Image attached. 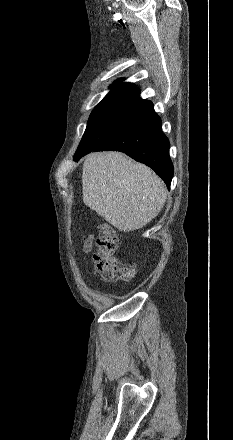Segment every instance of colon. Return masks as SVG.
Wrapping results in <instances>:
<instances>
[{
  "label": "colon",
  "mask_w": 233,
  "mask_h": 440,
  "mask_svg": "<svg viewBox=\"0 0 233 440\" xmlns=\"http://www.w3.org/2000/svg\"><path fill=\"white\" fill-rule=\"evenodd\" d=\"M95 244L97 250L93 255L94 266L103 279L117 282L134 276L135 265L117 258L118 237L109 223L103 222L99 225Z\"/></svg>",
  "instance_id": "colon-1"
}]
</instances>
